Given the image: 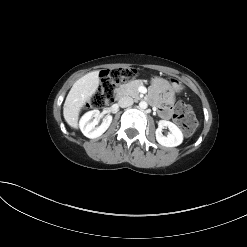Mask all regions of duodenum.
I'll return each instance as SVG.
<instances>
[{"label": "duodenum", "mask_w": 247, "mask_h": 247, "mask_svg": "<svg viewBox=\"0 0 247 247\" xmlns=\"http://www.w3.org/2000/svg\"><path fill=\"white\" fill-rule=\"evenodd\" d=\"M116 89H117V91H118V98H122L123 95H124V94H123V90H122V89H123L122 86L119 85V86H117Z\"/></svg>", "instance_id": "410a0bca"}]
</instances>
